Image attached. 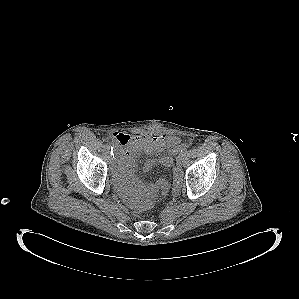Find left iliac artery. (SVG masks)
<instances>
[{
	"mask_svg": "<svg viewBox=\"0 0 299 299\" xmlns=\"http://www.w3.org/2000/svg\"><path fill=\"white\" fill-rule=\"evenodd\" d=\"M186 152H187V149H183V150H181V155H185L186 154Z\"/></svg>",
	"mask_w": 299,
	"mask_h": 299,
	"instance_id": "44dca946",
	"label": "left iliac artery"
}]
</instances>
